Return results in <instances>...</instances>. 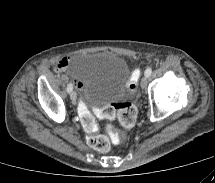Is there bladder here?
<instances>
[{"label": "bladder", "instance_id": "bladder-1", "mask_svg": "<svg viewBox=\"0 0 215 183\" xmlns=\"http://www.w3.org/2000/svg\"><path fill=\"white\" fill-rule=\"evenodd\" d=\"M68 67L83 83L82 100L86 105H102L132 95L129 65L119 55L82 52L72 57Z\"/></svg>", "mask_w": 215, "mask_h": 183}]
</instances>
